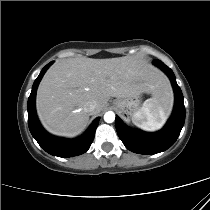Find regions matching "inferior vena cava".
<instances>
[{
    "mask_svg": "<svg viewBox=\"0 0 210 210\" xmlns=\"http://www.w3.org/2000/svg\"><path fill=\"white\" fill-rule=\"evenodd\" d=\"M96 107H97V103H96L95 101H91V102H89V104H88V111H89L90 113H92V112L95 111Z\"/></svg>",
    "mask_w": 210,
    "mask_h": 210,
    "instance_id": "1",
    "label": "inferior vena cava"
}]
</instances>
